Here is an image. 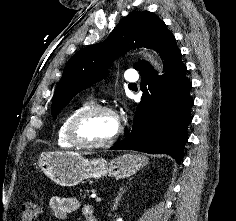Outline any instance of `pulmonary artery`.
Instances as JSON below:
<instances>
[{"instance_id": "pulmonary-artery-1", "label": "pulmonary artery", "mask_w": 236, "mask_h": 221, "mask_svg": "<svg viewBox=\"0 0 236 221\" xmlns=\"http://www.w3.org/2000/svg\"><path fill=\"white\" fill-rule=\"evenodd\" d=\"M125 80L128 82H136L138 79V76L133 74L132 72H127L124 76Z\"/></svg>"}]
</instances>
